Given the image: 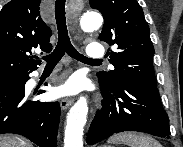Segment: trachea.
Masks as SVG:
<instances>
[{
	"mask_svg": "<svg viewBox=\"0 0 183 147\" xmlns=\"http://www.w3.org/2000/svg\"><path fill=\"white\" fill-rule=\"evenodd\" d=\"M55 17L58 29V43L53 52L42 57V59L46 62V67H55L65 53L80 62H100L99 60L91 59L84 56L83 54H80L72 45L66 25L65 0H56Z\"/></svg>",
	"mask_w": 183,
	"mask_h": 147,
	"instance_id": "trachea-1",
	"label": "trachea"
}]
</instances>
